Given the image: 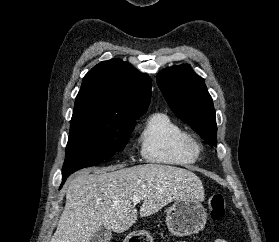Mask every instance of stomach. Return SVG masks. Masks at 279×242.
Here are the masks:
<instances>
[{
	"label": "stomach",
	"mask_w": 279,
	"mask_h": 242,
	"mask_svg": "<svg viewBox=\"0 0 279 242\" xmlns=\"http://www.w3.org/2000/svg\"><path fill=\"white\" fill-rule=\"evenodd\" d=\"M207 213L203 205L195 198L175 200L168 209L166 225L175 236H190L201 231L206 224ZM130 241L152 242L146 231H136L129 235Z\"/></svg>",
	"instance_id": "0dacf381"
}]
</instances>
